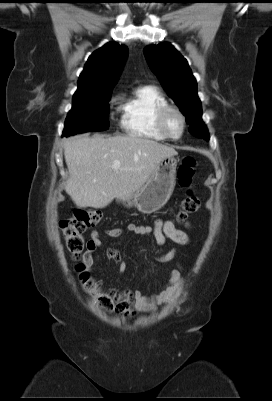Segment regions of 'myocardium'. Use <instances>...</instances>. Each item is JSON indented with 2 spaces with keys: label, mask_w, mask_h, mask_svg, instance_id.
Here are the masks:
<instances>
[{
  "label": "myocardium",
  "mask_w": 272,
  "mask_h": 401,
  "mask_svg": "<svg viewBox=\"0 0 272 401\" xmlns=\"http://www.w3.org/2000/svg\"><path fill=\"white\" fill-rule=\"evenodd\" d=\"M171 113L176 114L179 117L180 122H181L180 133L176 136L170 132L168 123H167L168 116ZM157 123H158L160 130L163 132V134L167 138L172 139V140H178V139L182 138V136L184 135L185 130H186V117H185L184 113L181 111L180 108H178L177 106L171 105V104H167L160 109L158 116H157Z\"/></svg>",
  "instance_id": "1"
}]
</instances>
